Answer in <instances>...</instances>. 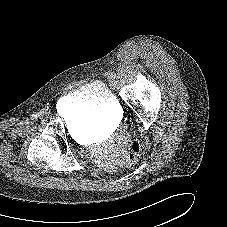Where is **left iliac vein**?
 Segmentation results:
<instances>
[{
	"label": "left iliac vein",
	"instance_id": "obj_1",
	"mask_svg": "<svg viewBox=\"0 0 227 227\" xmlns=\"http://www.w3.org/2000/svg\"><path fill=\"white\" fill-rule=\"evenodd\" d=\"M111 84H112L113 86H116V85H117V82H116L114 79H112V80H111Z\"/></svg>",
	"mask_w": 227,
	"mask_h": 227
}]
</instances>
